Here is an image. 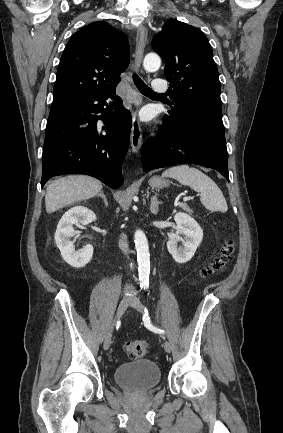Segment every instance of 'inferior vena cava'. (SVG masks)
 I'll list each match as a JSON object with an SVG mask.
<instances>
[{
  "label": "inferior vena cava",
  "instance_id": "inferior-vena-cava-1",
  "mask_svg": "<svg viewBox=\"0 0 283 433\" xmlns=\"http://www.w3.org/2000/svg\"><path fill=\"white\" fill-rule=\"evenodd\" d=\"M119 249H121V251H122V253H124V255H128L129 245L127 243L126 235H121V237L119 239Z\"/></svg>",
  "mask_w": 283,
  "mask_h": 433
}]
</instances>
